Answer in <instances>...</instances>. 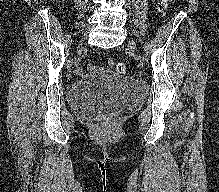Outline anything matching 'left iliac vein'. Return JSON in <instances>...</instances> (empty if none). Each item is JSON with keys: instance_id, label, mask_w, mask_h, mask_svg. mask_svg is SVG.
Masks as SVG:
<instances>
[{"instance_id": "obj_1", "label": "left iliac vein", "mask_w": 219, "mask_h": 192, "mask_svg": "<svg viewBox=\"0 0 219 192\" xmlns=\"http://www.w3.org/2000/svg\"><path fill=\"white\" fill-rule=\"evenodd\" d=\"M129 47H130L131 49H136V44H135V42H134V41H130V42H129Z\"/></svg>"}]
</instances>
